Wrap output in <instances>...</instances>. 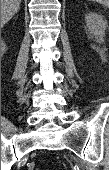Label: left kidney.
<instances>
[{"label":"left kidney","instance_id":"1","mask_svg":"<svg viewBox=\"0 0 109 170\" xmlns=\"http://www.w3.org/2000/svg\"><path fill=\"white\" fill-rule=\"evenodd\" d=\"M86 25L88 30L92 35L95 36V39L98 43L104 42L105 31L107 28V21L104 20L97 13H88L85 15Z\"/></svg>","mask_w":109,"mask_h":170}]
</instances>
